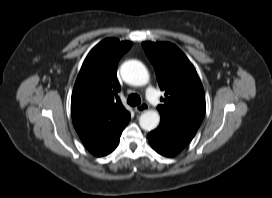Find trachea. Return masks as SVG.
Here are the masks:
<instances>
[{"mask_svg": "<svg viewBox=\"0 0 272 198\" xmlns=\"http://www.w3.org/2000/svg\"><path fill=\"white\" fill-rule=\"evenodd\" d=\"M127 103L131 106H137L141 104V98L138 94H130L127 99Z\"/></svg>", "mask_w": 272, "mask_h": 198, "instance_id": "3493384b", "label": "trachea"}]
</instances>
